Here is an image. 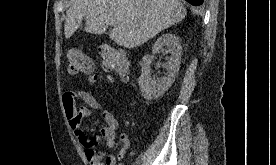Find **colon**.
I'll use <instances>...</instances> for the list:
<instances>
[{
    "mask_svg": "<svg viewBox=\"0 0 276 165\" xmlns=\"http://www.w3.org/2000/svg\"><path fill=\"white\" fill-rule=\"evenodd\" d=\"M67 58L70 73L86 75L91 80L95 78L94 63L88 54L73 49L68 52ZM99 58L105 71L116 72L124 80L129 78L128 61L124 52L111 46H102L99 49Z\"/></svg>",
    "mask_w": 276,
    "mask_h": 165,
    "instance_id": "1",
    "label": "colon"
}]
</instances>
